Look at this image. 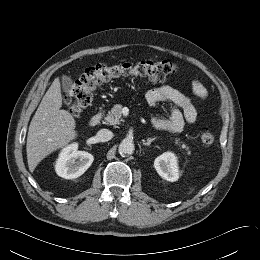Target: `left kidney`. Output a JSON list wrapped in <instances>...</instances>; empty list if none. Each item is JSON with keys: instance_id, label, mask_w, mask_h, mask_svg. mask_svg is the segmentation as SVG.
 Wrapping results in <instances>:
<instances>
[{"instance_id": "left-kidney-1", "label": "left kidney", "mask_w": 260, "mask_h": 260, "mask_svg": "<svg viewBox=\"0 0 260 260\" xmlns=\"http://www.w3.org/2000/svg\"><path fill=\"white\" fill-rule=\"evenodd\" d=\"M157 173L167 181L174 182L179 178V170L176 156L171 152H165L154 161Z\"/></svg>"}]
</instances>
